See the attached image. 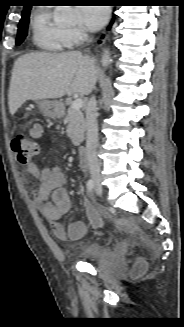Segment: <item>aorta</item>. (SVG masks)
Instances as JSON below:
<instances>
[{
  "label": "aorta",
  "instance_id": "762f6f07",
  "mask_svg": "<svg viewBox=\"0 0 184 327\" xmlns=\"http://www.w3.org/2000/svg\"><path fill=\"white\" fill-rule=\"evenodd\" d=\"M71 14L65 13L64 16H70ZM101 63L104 67H108L109 64L111 63V57H110V52L109 49L104 50L102 58H101Z\"/></svg>",
  "mask_w": 184,
  "mask_h": 327
}]
</instances>
